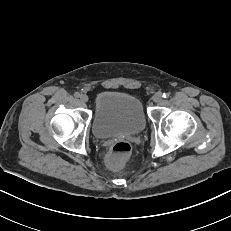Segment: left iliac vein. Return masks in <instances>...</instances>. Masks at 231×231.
I'll list each match as a JSON object with an SVG mask.
<instances>
[{"mask_svg": "<svg viewBox=\"0 0 231 231\" xmlns=\"http://www.w3.org/2000/svg\"><path fill=\"white\" fill-rule=\"evenodd\" d=\"M152 99H153V101H154L155 103H159V102L162 101L163 96H162L161 93H156V94L153 96Z\"/></svg>", "mask_w": 231, "mask_h": 231, "instance_id": "left-iliac-vein-1", "label": "left iliac vein"}]
</instances>
